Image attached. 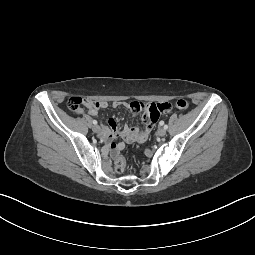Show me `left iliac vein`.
Masks as SVG:
<instances>
[{"instance_id":"1","label":"left iliac vein","mask_w":255,"mask_h":255,"mask_svg":"<svg viewBox=\"0 0 255 255\" xmlns=\"http://www.w3.org/2000/svg\"><path fill=\"white\" fill-rule=\"evenodd\" d=\"M157 134L161 137L165 136L166 135V129H164V128L158 129Z\"/></svg>"}]
</instances>
